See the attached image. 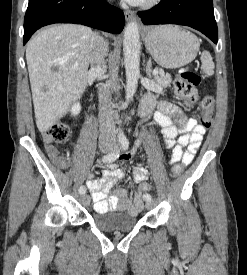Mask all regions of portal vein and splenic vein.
<instances>
[{"mask_svg": "<svg viewBox=\"0 0 247 275\" xmlns=\"http://www.w3.org/2000/svg\"><path fill=\"white\" fill-rule=\"evenodd\" d=\"M159 74V71L157 69L153 70V75L157 76Z\"/></svg>", "mask_w": 247, "mask_h": 275, "instance_id": "obj_1", "label": "portal vein and splenic vein"}]
</instances>
